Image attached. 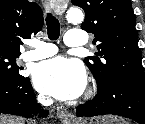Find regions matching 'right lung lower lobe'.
<instances>
[{
  "mask_svg": "<svg viewBox=\"0 0 145 124\" xmlns=\"http://www.w3.org/2000/svg\"><path fill=\"white\" fill-rule=\"evenodd\" d=\"M37 112L42 117L47 115L36 102L30 79L0 74V113L30 117Z\"/></svg>",
  "mask_w": 145,
  "mask_h": 124,
  "instance_id": "1",
  "label": "right lung lower lobe"
}]
</instances>
